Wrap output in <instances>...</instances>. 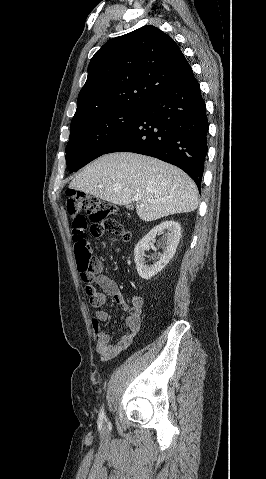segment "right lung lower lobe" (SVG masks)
<instances>
[{"mask_svg":"<svg viewBox=\"0 0 266 479\" xmlns=\"http://www.w3.org/2000/svg\"><path fill=\"white\" fill-rule=\"evenodd\" d=\"M206 106L196 78L154 97L136 121L104 152H134L171 163L201 189L208 151Z\"/></svg>","mask_w":266,"mask_h":479,"instance_id":"1","label":"right lung lower lobe"}]
</instances>
